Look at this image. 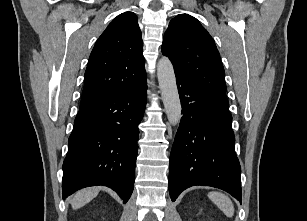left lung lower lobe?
<instances>
[{"label":"left lung lower lobe","mask_w":307,"mask_h":221,"mask_svg":"<svg viewBox=\"0 0 307 221\" xmlns=\"http://www.w3.org/2000/svg\"><path fill=\"white\" fill-rule=\"evenodd\" d=\"M175 75L183 116L170 154L172 201L186 188L202 185L223 189L241 202V168L228 105Z\"/></svg>","instance_id":"obj_1"}]
</instances>
